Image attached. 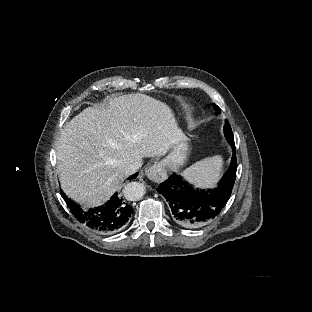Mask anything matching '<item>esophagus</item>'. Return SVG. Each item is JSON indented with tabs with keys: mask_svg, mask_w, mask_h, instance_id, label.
Listing matches in <instances>:
<instances>
[{
	"mask_svg": "<svg viewBox=\"0 0 312 312\" xmlns=\"http://www.w3.org/2000/svg\"><path fill=\"white\" fill-rule=\"evenodd\" d=\"M145 174L147 178L155 183H160L167 178L166 165L163 162L150 166Z\"/></svg>",
	"mask_w": 312,
	"mask_h": 312,
	"instance_id": "obj_1",
	"label": "esophagus"
}]
</instances>
